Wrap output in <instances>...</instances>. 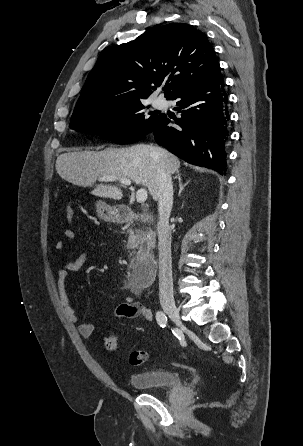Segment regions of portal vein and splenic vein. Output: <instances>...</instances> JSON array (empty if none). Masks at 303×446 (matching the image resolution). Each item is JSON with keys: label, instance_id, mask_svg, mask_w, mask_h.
Wrapping results in <instances>:
<instances>
[{"label": "portal vein and splenic vein", "instance_id": "obj_1", "mask_svg": "<svg viewBox=\"0 0 303 446\" xmlns=\"http://www.w3.org/2000/svg\"><path fill=\"white\" fill-rule=\"evenodd\" d=\"M118 179L122 184L131 185V180L126 177H116V176H103L100 178L102 181H114ZM148 198V193L145 188H141L136 193V199L138 203H144Z\"/></svg>", "mask_w": 303, "mask_h": 446}]
</instances>
